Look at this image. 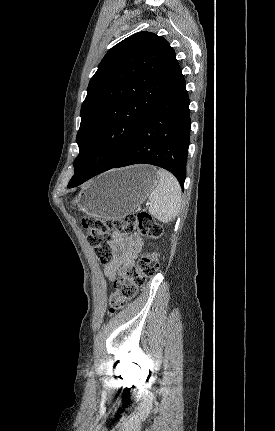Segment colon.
I'll return each mask as SVG.
<instances>
[{
  "instance_id": "obj_1",
  "label": "colon",
  "mask_w": 275,
  "mask_h": 431,
  "mask_svg": "<svg viewBox=\"0 0 275 431\" xmlns=\"http://www.w3.org/2000/svg\"><path fill=\"white\" fill-rule=\"evenodd\" d=\"M82 224L88 231V242L95 256L104 265H108L114 256L111 246L113 230L128 232L138 230L148 237H156L162 233L161 226L147 212L132 213L124 219L86 216ZM158 269L159 261L154 254L142 257L135 266L127 269L114 283L115 291L109 297V312L114 314L122 309L135 295L137 288L143 285L147 278L153 277Z\"/></svg>"
}]
</instances>
